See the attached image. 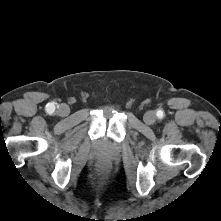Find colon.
I'll use <instances>...</instances> for the list:
<instances>
[{"label":"colon","instance_id":"5ec220e1","mask_svg":"<svg viewBox=\"0 0 221 221\" xmlns=\"http://www.w3.org/2000/svg\"><path fill=\"white\" fill-rule=\"evenodd\" d=\"M100 172H101V173H105V169H104V168H101V169H100Z\"/></svg>","mask_w":221,"mask_h":221}]
</instances>
